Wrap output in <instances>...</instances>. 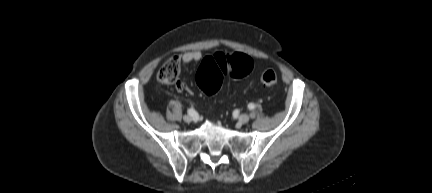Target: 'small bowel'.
<instances>
[{
  "label": "small bowel",
  "mask_w": 432,
  "mask_h": 193,
  "mask_svg": "<svg viewBox=\"0 0 432 193\" xmlns=\"http://www.w3.org/2000/svg\"><path fill=\"white\" fill-rule=\"evenodd\" d=\"M182 62L184 64H190L193 62H198L202 58V53L198 50L195 51H188L182 55ZM177 88L182 89L183 84L181 82L177 83Z\"/></svg>",
  "instance_id": "small-bowel-1"
}]
</instances>
